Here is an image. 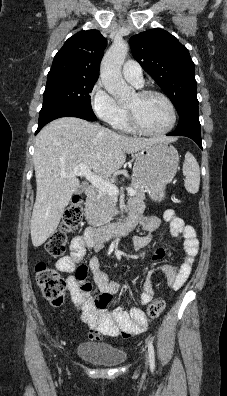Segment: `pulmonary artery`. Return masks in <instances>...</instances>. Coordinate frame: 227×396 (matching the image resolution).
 I'll list each match as a JSON object with an SVG mask.
<instances>
[{
	"mask_svg": "<svg viewBox=\"0 0 227 396\" xmlns=\"http://www.w3.org/2000/svg\"><path fill=\"white\" fill-rule=\"evenodd\" d=\"M122 74L127 81L136 86H141L143 81L142 68L136 61L128 60L125 62L122 68Z\"/></svg>",
	"mask_w": 227,
	"mask_h": 396,
	"instance_id": "e3ab8cb5",
	"label": "pulmonary artery"
}]
</instances>
